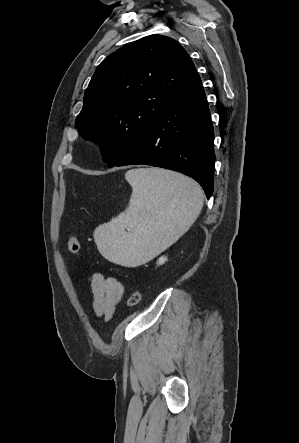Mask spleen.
I'll list each match as a JSON object with an SVG mask.
<instances>
[{
  "instance_id": "obj_1",
  "label": "spleen",
  "mask_w": 299,
  "mask_h": 443,
  "mask_svg": "<svg viewBox=\"0 0 299 443\" xmlns=\"http://www.w3.org/2000/svg\"><path fill=\"white\" fill-rule=\"evenodd\" d=\"M125 179L132 186L128 210L98 226L94 240L110 262L136 267L189 230L200 214L204 195L192 179L159 168L132 169Z\"/></svg>"
}]
</instances>
